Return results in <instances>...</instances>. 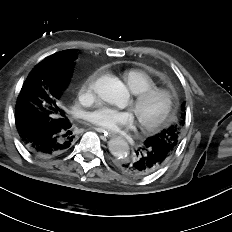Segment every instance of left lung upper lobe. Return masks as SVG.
Wrapping results in <instances>:
<instances>
[{"label":"left lung upper lobe","instance_id":"1","mask_svg":"<svg viewBox=\"0 0 232 232\" xmlns=\"http://www.w3.org/2000/svg\"><path fill=\"white\" fill-rule=\"evenodd\" d=\"M184 110L185 108L183 104L182 105L183 113L181 115V119L178 124L171 125L169 128L164 129L161 133L147 138V141H151L155 144H158L164 147L172 155L178 146L179 137H180V129H181V126H183V122L185 119Z\"/></svg>","mask_w":232,"mask_h":232}]
</instances>
